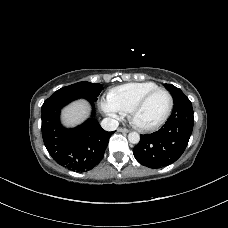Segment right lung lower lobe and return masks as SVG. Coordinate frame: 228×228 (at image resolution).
<instances>
[{
    "instance_id": "right-lung-lower-lobe-1",
    "label": "right lung lower lobe",
    "mask_w": 228,
    "mask_h": 228,
    "mask_svg": "<svg viewBox=\"0 0 228 228\" xmlns=\"http://www.w3.org/2000/svg\"><path fill=\"white\" fill-rule=\"evenodd\" d=\"M53 94L42 105V136L51 157L60 165L86 172L103 158L111 132L101 128L93 115L82 125L66 129L60 123L61 109L78 99ZM93 105V102H90Z\"/></svg>"
}]
</instances>
